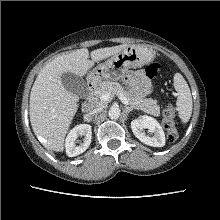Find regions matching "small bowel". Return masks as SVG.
I'll return each instance as SVG.
<instances>
[{"label": "small bowel", "instance_id": "obj_1", "mask_svg": "<svg viewBox=\"0 0 220 220\" xmlns=\"http://www.w3.org/2000/svg\"><path fill=\"white\" fill-rule=\"evenodd\" d=\"M126 82L140 96H146L150 91L148 78L140 71L134 72L126 78Z\"/></svg>", "mask_w": 220, "mask_h": 220}]
</instances>
